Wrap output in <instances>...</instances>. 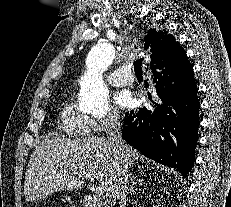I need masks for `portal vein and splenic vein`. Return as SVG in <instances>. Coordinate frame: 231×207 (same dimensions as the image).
I'll list each match as a JSON object with an SVG mask.
<instances>
[{
    "instance_id": "portal-vein-and-splenic-vein-1",
    "label": "portal vein and splenic vein",
    "mask_w": 231,
    "mask_h": 207,
    "mask_svg": "<svg viewBox=\"0 0 231 207\" xmlns=\"http://www.w3.org/2000/svg\"><path fill=\"white\" fill-rule=\"evenodd\" d=\"M83 178L88 179V180H92V178H90L88 175L83 176ZM91 190L95 191L97 194L103 193V188L100 185H98V186H95L94 184L91 185Z\"/></svg>"
}]
</instances>
